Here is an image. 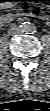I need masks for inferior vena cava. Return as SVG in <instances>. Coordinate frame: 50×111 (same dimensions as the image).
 Listing matches in <instances>:
<instances>
[{
  "label": "inferior vena cava",
  "mask_w": 50,
  "mask_h": 111,
  "mask_svg": "<svg viewBox=\"0 0 50 111\" xmlns=\"http://www.w3.org/2000/svg\"><path fill=\"white\" fill-rule=\"evenodd\" d=\"M12 31H13V33H17L19 31V29L16 27V28H13Z\"/></svg>",
  "instance_id": "inferior-vena-cava-1"
}]
</instances>
